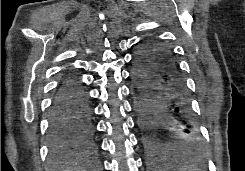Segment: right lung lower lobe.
<instances>
[{
    "mask_svg": "<svg viewBox=\"0 0 245 171\" xmlns=\"http://www.w3.org/2000/svg\"><path fill=\"white\" fill-rule=\"evenodd\" d=\"M49 137L53 158L68 154L74 147L87 148L93 143V110L89 96L71 70L65 72L53 98Z\"/></svg>",
    "mask_w": 245,
    "mask_h": 171,
    "instance_id": "1",
    "label": "right lung lower lobe"
}]
</instances>
